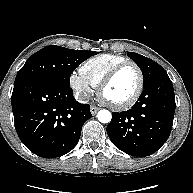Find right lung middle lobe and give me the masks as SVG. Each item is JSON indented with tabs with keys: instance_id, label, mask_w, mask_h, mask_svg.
Wrapping results in <instances>:
<instances>
[{
	"instance_id": "dd1d6c3e",
	"label": "right lung middle lobe",
	"mask_w": 193,
	"mask_h": 193,
	"mask_svg": "<svg viewBox=\"0 0 193 193\" xmlns=\"http://www.w3.org/2000/svg\"><path fill=\"white\" fill-rule=\"evenodd\" d=\"M98 52L72 50L56 45L47 46L33 54L17 73L14 85L33 79L55 81L70 85V75L83 61Z\"/></svg>"
}]
</instances>
